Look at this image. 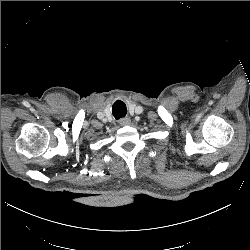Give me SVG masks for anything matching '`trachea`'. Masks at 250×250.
Returning a JSON list of instances; mask_svg holds the SVG:
<instances>
[{
  "label": "trachea",
  "instance_id": "obj_1",
  "mask_svg": "<svg viewBox=\"0 0 250 250\" xmlns=\"http://www.w3.org/2000/svg\"><path fill=\"white\" fill-rule=\"evenodd\" d=\"M127 113V109L125 104L118 100L113 105V115L116 119H119L121 117H124Z\"/></svg>",
  "mask_w": 250,
  "mask_h": 250
}]
</instances>
